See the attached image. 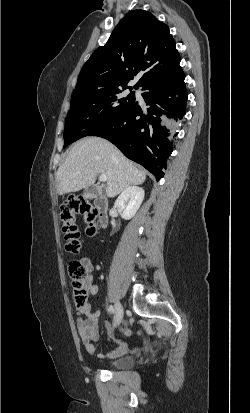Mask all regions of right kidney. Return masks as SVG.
Masks as SVG:
<instances>
[{"label": "right kidney", "mask_w": 250, "mask_h": 413, "mask_svg": "<svg viewBox=\"0 0 250 413\" xmlns=\"http://www.w3.org/2000/svg\"><path fill=\"white\" fill-rule=\"evenodd\" d=\"M145 192L137 186H130L123 190L115 201L121 217L125 220L133 218L144 200Z\"/></svg>", "instance_id": "1"}]
</instances>
